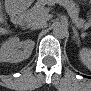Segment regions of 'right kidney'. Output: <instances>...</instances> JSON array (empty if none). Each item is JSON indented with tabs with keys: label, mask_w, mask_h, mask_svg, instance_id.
<instances>
[{
	"label": "right kidney",
	"mask_w": 91,
	"mask_h": 91,
	"mask_svg": "<svg viewBox=\"0 0 91 91\" xmlns=\"http://www.w3.org/2000/svg\"><path fill=\"white\" fill-rule=\"evenodd\" d=\"M34 46L35 42L32 40L20 41L18 37L10 38L0 48V60L9 63L21 62L30 57Z\"/></svg>",
	"instance_id": "ca27d5eb"
}]
</instances>
